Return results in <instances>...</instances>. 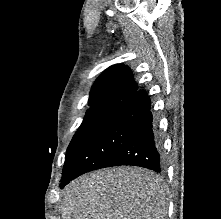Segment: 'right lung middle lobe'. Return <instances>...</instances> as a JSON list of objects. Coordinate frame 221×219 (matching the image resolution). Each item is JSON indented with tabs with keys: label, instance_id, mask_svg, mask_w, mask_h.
I'll return each instance as SVG.
<instances>
[{
	"label": "right lung middle lobe",
	"instance_id": "obj_1",
	"mask_svg": "<svg viewBox=\"0 0 221 219\" xmlns=\"http://www.w3.org/2000/svg\"><path fill=\"white\" fill-rule=\"evenodd\" d=\"M119 102L116 101H102L96 103H90V109L86 112L84 120L76 131L75 135L70 142L66 157L69 155L89 136V134L96 128V126L108 115Z\"/></svg>",
	"mask_w": 221,
	"mask_h": 219
}]
</instances>
